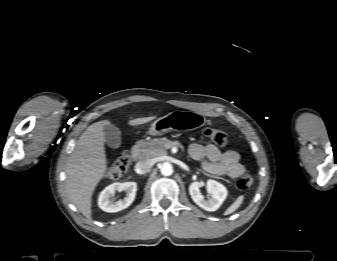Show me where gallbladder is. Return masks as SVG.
Segmentation results:
<instances>
[{"mask_svg":"<svg viewBox=\"0 0 337 261\" xmlns=\"http://www.w3.org/2000/svg\"><path fill=\"white\" fill-rule=\"evenodd\" d=\"M104 134L109 147L116 149L121 145V132L117 127L113 125L105 126Z\"/></svg>","mask_w":337,"mask_h":261,"instance_id":"1","label":"gallbladder"}]
</instances>
